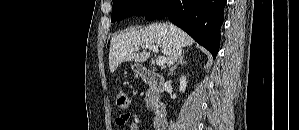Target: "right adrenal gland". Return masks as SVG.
Returning <instances> with one entry per match:
<instances>
[{"instance_id": "right-adrenal-gland-1", "label": "right adrenal gland", "mask_w": 299, "mask_h": 130, "mask_svg": "<svg viewBox=\"0 0 299 130\" xmlns=\"http://www.w3.org/2000/svg\"><path fill=\"white\" fill-rule=\"evenodd\" d=\"M187 64V62L184 60V54L180 57L179 61L170 69V72L168 75H171L179 65Z\"/></svg>"}]
</instances>
